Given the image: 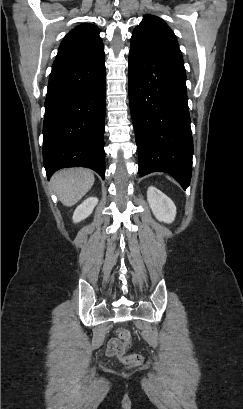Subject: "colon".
<instances>
[{
  "label": "colon",
  "mask_w": 243,
  "mask_h": 409,
  "mask_svg": "<svg viewBox=\"0 0 243 409\" xmlns=\"http://www.w3.org/2000/svg\"><path fill=\"white\" fill-rule=\"evenodd\" d=\"M119 338L123 342V347L121 349L120 360L126 365L136 367L143 363L144 358L139 354H130L128 349L131 345V335L126 329H121L118 333Z\"/></svg>",
  "instance_id": "5ec220e1"
}]
</instances>
